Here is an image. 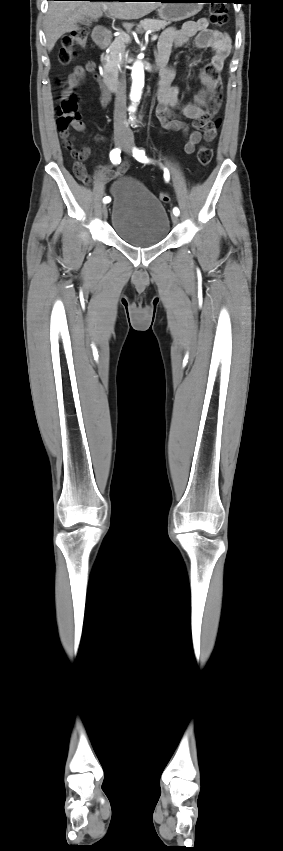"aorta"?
Wrapping results in <instances>:
<instances>
[{
  "instance_id": "aorta-1",
  "label": "aorta",
  "mask_w": 283,
  "mask_h": 851,
  "mask_svg": "<svg viewBox=\"0 0 283 851\" xmlns=\"http://www.w3.org/2000/svg\"><path fill=\"white\" fill-rule=\"evenodd\" d=\"M131 77H132V86H131L130 98L133 102V106L130 108V110L134 111L135 110V103L137 101H139L141 94H142V89L144 87V67H143V64L140 61H137V62L134 63V65L132 67Z\"/></svg>"
}]
</instances>
